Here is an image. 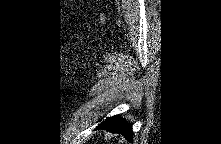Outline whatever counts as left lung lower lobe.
I'll list each match as a JSON object with an SVG mask.
<instances>
[{
	"mask_svg": "<svg viewBox=\"0 0 221 144\" xmlns=\"http://www.w3.org/2000/svg\"><path fill=\"white\" fill-rule=\"evenodd\" d=\"M98 129H105L111 133H120L127 140L133 141V132L132 125L127 123L124 119L117 117H110L104 120L101 124L98 125Z\"/></svg>",
	"mask_w": 221,
	"mask_h": 144,
	"instance_id": "left-lung-lower-lobe-1",
	"label": "left lung lower lobe"
}]
</instances>
